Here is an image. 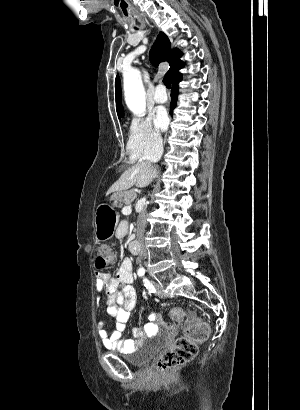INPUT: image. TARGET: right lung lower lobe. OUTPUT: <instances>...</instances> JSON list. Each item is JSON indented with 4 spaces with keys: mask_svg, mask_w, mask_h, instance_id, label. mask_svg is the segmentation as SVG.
<instances>
[{
    "mask_svg": "<svg viewBox=\"0 0 300 410\" xmlns=\"http://www.w3.org/2000/svg\"><path fill=\"white\" fill-rule=\"evenodd\" d=\"M181 80V73H177L176 75H174V77L171 79L173 88H172V94H171V103H170V114L173 115V109L176 107V103H177V97H178V83Z\"/></svg>",
    "mask_w": 300,
    "mask_h": 410,
    "instance_id": "1",
    "label": "right lung lower lobe"
}]
</instances>
